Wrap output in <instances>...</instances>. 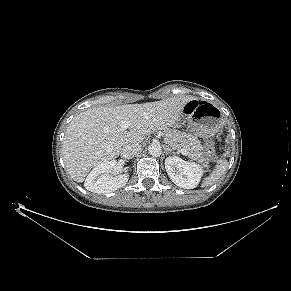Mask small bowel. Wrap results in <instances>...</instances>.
<instances>
[{"label":"small bowel","mask_w":291,"mask_h":291,"mask_svg":"<svg viewBox=\"0 0 291 291\" xmlns=\"http://www.w3.org/2000/svg\"><path fill=\"white\" fill-rule=\"evenodd\" d=\"M196 106L197 102L195 100H188L185 102L183 109L186 113H190L196 108Z\"/></svg>","instance_id":"obj_1"}]
</instances>
